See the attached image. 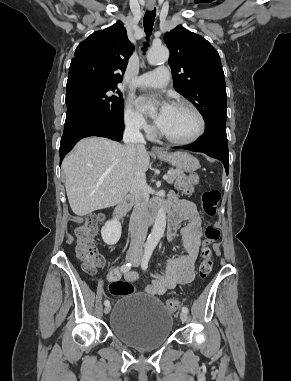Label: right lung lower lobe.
Returning <instances> with one entry per match:
<instances>
[{
  "label": "right lung lower lobe",
  "instance_id": "1",
  "mask_svg": "<svg viewBox=\"0 0 291 381\" xmlns=\"http://www.w3.org/2000/svg\"><path fill=\"white\" fill-rule=\"evenodd\" d=\"M123 116H107L94 119L82 106L67 107L64 132L60 143V164L65 155L82 138L89 136L106 137L115 141L122 139Z\"/></svg>",
  "mask_w": 291,
  "mask_h": 381
}]
</instances>
